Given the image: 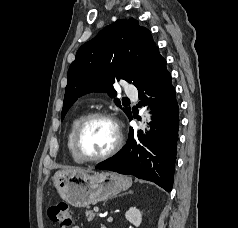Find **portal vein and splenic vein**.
Instances as JSON below:
<instances>
[{"label":"portal vein and splenic vein","mask_w":238,"mask_h":228,"mask_svg":"<svg viewBox=\"0 0 238 228\" xmlns=\"http://www.w3.org/2000/svg\"><path fill=\"white\" fill-rule=\"evenodd\" d=\"M94 211L98 213V212H99V208H98V207H95V208H94Z\"/></svg>","instance_id":"1"}]
</instances>
